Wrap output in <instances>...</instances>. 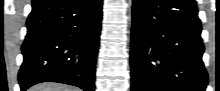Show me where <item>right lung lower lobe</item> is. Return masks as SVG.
<instances>
[{
    "mask_svg": "<svg viewBox=\"0 0 220 91\" xmlns=\"http://www.w3.org/2000/svg\"><path fill=\"white\" fill-rule=\"evenodd\" d=\"M102 0H33L27 19L21 91L41 82L94 90Z\"/></svg>",
    "mask_w": 220,
    "mask_h": 91,
    "instance_id": "right-lung-lower-lobe-1",
    "label": "right lung lower lobe"
}]
</instances>
